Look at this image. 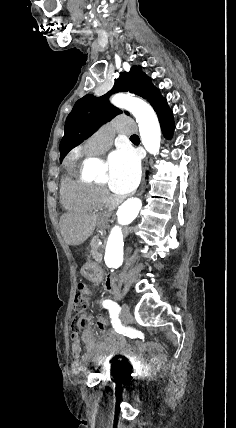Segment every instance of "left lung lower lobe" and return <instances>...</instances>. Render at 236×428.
<instances>
[{
	"instance_id": "1",
	"label": "left lung lower lobe",
	"mask_w": 236,
	"mask_h": 428,
	"mask_svg": "<svg viewBox=\"0 0 236 428\" xmlns=\"http://www.w3.org/2000/svg\"><path fill=\"white\" fill-rule=\"evenodd\" d=\"M162 132L167 139H170L174 130L173 113L168 105L163 106L157 112Z\"/></svg>"
}]
</instances>
